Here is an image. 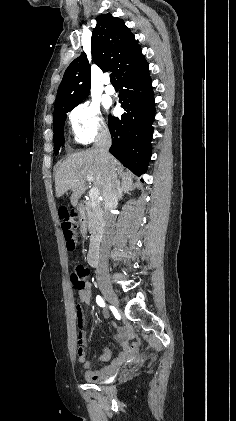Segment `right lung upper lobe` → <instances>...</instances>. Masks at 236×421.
Segmentation results:
<instances>
[{"label": "right lung upper lobe", "instance_id": "1", "mask_svg": "<svg viewBox=\"0 0 236 421\" xmlns=\"http://www.w3.org/2000/svg\"><path fill=\"white\" fill-rule=\"evenodd\" d=\"M91 51L93 61L102 70L118 73L142 55L141 47L122 19L111 14L97 17L92 32ZM91 83L90 67L85 53L67 67L59 85L54 110L64 105L83 101Z\"/></svg>", "mask_w": 236, "mask_h": 421}]
</instances>
